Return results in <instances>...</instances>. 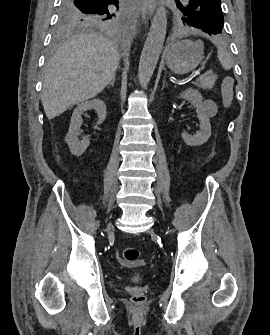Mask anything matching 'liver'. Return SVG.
Returning a JSON list of instances; mask_svg holds the SVG:
<instances>
[{
	"label": "liver",
	"mask_w": 270,
	"mask_h": 335,
	"mask_svg": "<svg viewBox=\"0 0 270 335\" xmlns=\"http://www.w3.org/2000/svg\"><path fill=\"white\" fill-rule=\"evenodd\" d=\"M119 52L101 34H75L56 50L45 68L41 96L48 120L95 98L115 76Z\"/></svg>",
	"instance_id": "6515ba94"
}]
</instances>
